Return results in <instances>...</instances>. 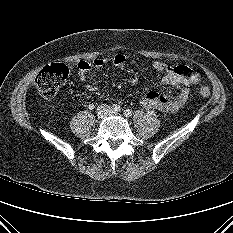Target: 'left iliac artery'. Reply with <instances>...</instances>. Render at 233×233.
Returning <instances> with one entry per match:
<instances>
[{
	"label": "left iliac artery",
	"mask_w": 233,
	"mask_h": 233,
	"mask_svg": "<svg viewBox=\"0 0 233 233\" xmlns=\"http://www.w3.org/2000/svg\"><path fill=\"white\" fill-rule=\"evenodd\" d=\"M124 115H125L126 117H131V116H132V110H130V109L124 110Z\"/></svg>",
	"instance_id": "1"
}]
</instances>
